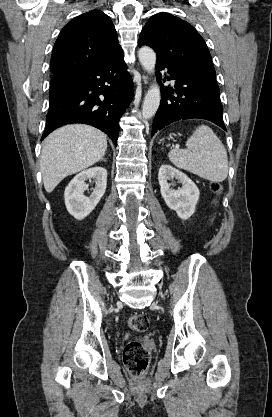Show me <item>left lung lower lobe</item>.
<instances>
[{
    "mask_svg": "<svg viewBox=\"0 0 272 417\" xmlns=\"http://www.w3.org/2000/svg\"><path fill=\"white\" fill-rule=\"evenodd\" d=\"M164 68H167L169 73L165 78L175 80V88H161L162 100L154 118L152 135L170 123L191 118L209 120L226 131L219 87L182 68L156 62V78L159 84V71ZM172 93L177 94V97Z\"/></svg>",
    "mask_w": 272,
    "mask_h": 417,
    "instance_id": "1",
    "label": "left lung lower lobe"
}]
</instances>
